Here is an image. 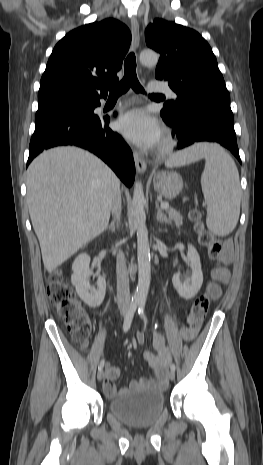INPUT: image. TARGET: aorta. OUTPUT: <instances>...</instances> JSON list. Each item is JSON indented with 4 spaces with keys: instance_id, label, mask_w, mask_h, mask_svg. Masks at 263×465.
<instances>
[{
    "instance_id": "762f6f07",
    "label": "aorta",
    "mask_w": 263,
    "mask_h": 465,
    "mask_svg": "<svg viewBox=\"0 0 263 465\" xmlns=\"http://www.w3.org/2000/svg\"><path fill=\"white\" fill-rule=\"evenodd\" d=\"M140 62L145 66H155L158 63L159 55L151 50L140 53ZM145 197L143 185L140 181L134 185L133 208L135 225L137 229V258H138V284L134 294V302L145 303L151 279L150 247L148 240V230L146 227V215L144 211Z\"/></svg>"
}]
</instances>
